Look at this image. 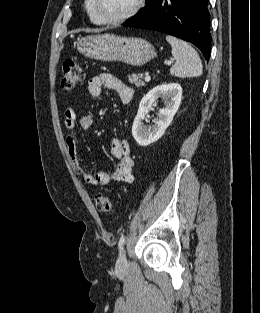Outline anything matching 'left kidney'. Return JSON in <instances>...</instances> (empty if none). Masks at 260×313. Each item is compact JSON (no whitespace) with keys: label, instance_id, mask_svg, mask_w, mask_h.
<instances>
[{"label":"left kidney","instance_id":"5707ae66","mask_svg":"<svg viewBox=\"0 0 260 313\" xmlns=\"http://www.w3.org/2000/svg\"><path fill=\"white\" fill-rule=\"evenodd\" d=\"M159 97L163 98L165 107L159 110L154 125L147 128L143 121ZM181 98L182 88L178 83L154 87L142 98L132 126V135L140 146H148L163 136L179 109Z\"/></svg>","mask_w":260,"mask_h":313}]
</instances>
